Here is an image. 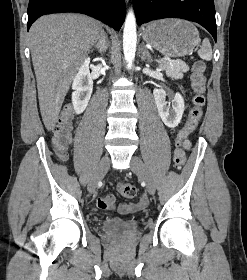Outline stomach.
<instances>
[{"mask_svg": "<svg viewBox=\"0 0 247 280\" xmlns=\"http://www.w3.org/2000/svg\"><path fill=\"white\" fill-rule=\"evenodd\" d=\"M146 43L167 57H182L191 53L200 37L196 27L182 19L150 22L142 31Z\"/></svg>", "mask_w": 247, "mask_h": 280, "instance_id": "0dacf381", "label": "stomach"}]
</instances>
